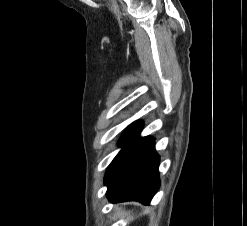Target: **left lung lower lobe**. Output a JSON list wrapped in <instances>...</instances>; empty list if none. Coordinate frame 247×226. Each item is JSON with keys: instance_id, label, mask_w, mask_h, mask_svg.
<instances>
[{"instance_id": "0a47b994", "label": "left lung lower lobe", "mask_w": 247, "mask_h": 226, "mask_svg": "<svg viewBox=\"0 0 247 226\" xmlns=\"http://www.w3.org/2000/svg\"><path fill=\"white\" fill-rule=\"evenodd\" d=\"M141 122L130 126L120 141L122 150L105 175L107 197L112 203L129 200L149 204L160 186L159 156L151 137H139Z\"/></svg>"}]
</instances>
